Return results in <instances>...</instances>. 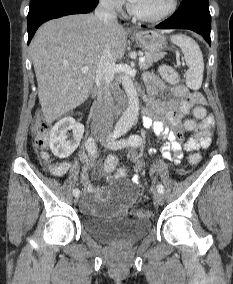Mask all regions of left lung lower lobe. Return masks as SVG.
Here are the masks:
<instances>
[{
	"instance_id": "obj_1",
	"label": "left lung lower lobe",
	"mask_w": 233,
	"mask_h": 284,
	"mask_svg": "<svg viewBox=\"0 0 233 284\" xmlns=\"http://www.w3.org/2000/svg\"><path fill=\"white\" fill-rule=\"evenodd\" d=\"M156 28L190 29L202 35L210 44L211 16L208 0H182L178 11Z\"/></svg>"
}]
</instances>
